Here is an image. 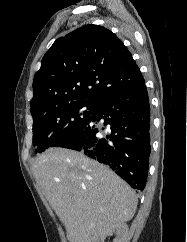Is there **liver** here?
Listing matches in <instances>:
<instances>
[{
  "label": "liver",
  "mask_w": 187,
  "mask_h": 242,
  "mask_svg": "<svg viewBox=\"0 0 187 242\" xmlns=\"http://www.w3.org/2000/svg\"><path fill=\"white\" fill-rule=\"evenodd\" d=\"M32 172L70 242H88L135 215V191L80 152L50 148L34 160Z\"/></svg>",
  "instance_id": "liver-1"
}]
</instances>
